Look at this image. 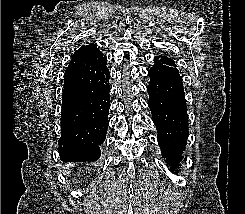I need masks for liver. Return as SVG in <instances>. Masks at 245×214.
<instances>
[{"instance_id": "obj_1", "label": "liver", "mask_w": 245, "mask_h": 214, "mask_svg": "<svg viewBox=\"0 0 245 214\" xmlns=\"http://www.w3.org/2000/svg\"><path fill=\"white\" fill-rule=\"evenodd\" d=\"M63 173L65 174V175H69V173H70V167L69 166H66L64 169H63Z\"/></svg>"}]
</instances>
